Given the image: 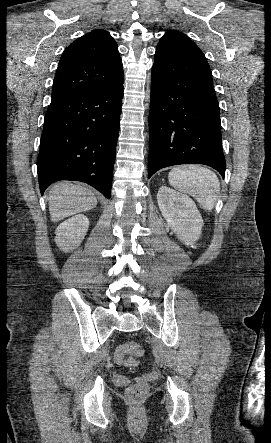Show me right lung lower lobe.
<instances>
[{
    "label": "right lung lower lobe",
    "mask_w": 271,
    "mask_h": 443,
    "mask_svg": "<svg viewBox=\"0 0 271 443\" xmlns=\"http://www.w3.org/2000/svg\"><path fill=\"white\" fill-rule=\"evenodd\" d=\"M123 82L52 97L37 159L41 194L53 182L72 180L110 198Z\"/></svg>",
    "instance_id": "1"
}]
</instances>
